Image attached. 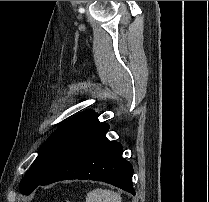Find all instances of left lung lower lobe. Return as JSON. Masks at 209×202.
Wrapping results in <instances>:
<instances>
[{
  "instance_id": "obj_1",
  "label": "left lung lower lobe",
  "mask_w": 209,
  "mask_h": 202,
  "mask_svg": "<svg viewBox=\"0 0 209 202\" xmlns=\"http://www.w3.org/2000/svg\"><path fill=\"white\" fill-rule=\"evenodd\" d=\"M108 129V124L98 121L97 114L87 118L64 143L40 185L89 179L112 184L135 195L133 167L122 158V145L105 137Z\"/></svg>"
}]
</instances>
